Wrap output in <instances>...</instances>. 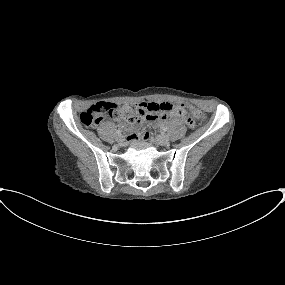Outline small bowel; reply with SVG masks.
<instances>
[{
	"label": "small bowel",
	"instance_id": "obj_1",
	"mask_svg": "<svg viewBox=\"0 0 285 285\" xmlns=\"http://www.w3.org/2000/svg\"><path fill=\"white\" fill-rule=\"evenodd\" d=\"M140 105H145L151 111V113L146 114L142 117V119L136 121L133 125H128L125 123H121L120 126L122 128L128 129L132 126L137 127L138 129L142 128L144 120L148 121L150 124L154 125H162L166 123L168 115H169V108L172 105L170 102L166 101H149L146 103H141ZM174 122L177 124H185L188 127H194V122L192 119H185V118H175ZM143 135H147L146 132L141 130Z\"/></svg>",
	"mask_w": 285,
	"mask_h": 285
}]
</instances>
